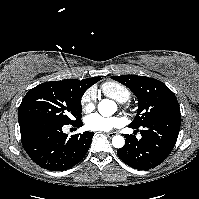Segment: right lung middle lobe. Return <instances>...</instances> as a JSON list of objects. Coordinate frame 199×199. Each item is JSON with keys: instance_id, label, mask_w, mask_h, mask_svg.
Here are the masks:
<instances>
[{"instance_id": "obj_1", "label": "right lung middle lobe", "mask_w": 199, "mask_h": 199, "mask_svg": "<svg viewBox=\"0 0 199 199\" xmlns=\"http://www.w3.org/2000/svg\"><path fill=\"white\" fill-rule=\"evenodd\" d=\"M83 94L84 91L63 81L42 83L30 89L23 98L18 110V121L46 120L65 125L75 123L81 118Z\"/></svg>"}]
</instances>
